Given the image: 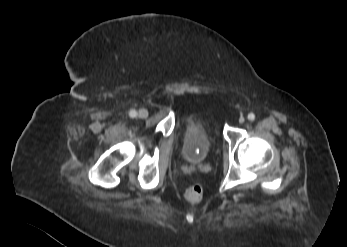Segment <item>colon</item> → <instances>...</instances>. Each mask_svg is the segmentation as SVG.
I'll list each match as a JSON object with an SVG mask.
<instances>
[{"instance_id":"5ec220e1","label":"colon","mask_w":347,"mask_h":247,"mask_svg":"<svg viewBox=\"0 0 347 247\" xmlns=\"http://www.w3.org/2000/svg\"><path fill=\"white\" fill-rule=\"evenodd\" d=\"M203 193L204 191L201 185L192 184L185 190L184 196L187 201L191 203H197L202 200Z\"/></svg>"}]
</instances>
